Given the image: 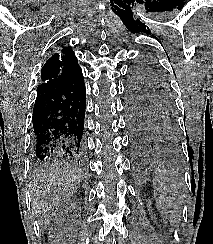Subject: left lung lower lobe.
Masks as SVG:
<instances>
[{
    "label": "left lung lower lobe",
    "instance_id": "0a47b994",
    "mask_svg": "<svg viewBox=\"0 0 213 244\" xmlns=\"http://www.w3.org/2000/svg\"><path fill=\"white\" fill-rule=\"evenodd\" d=\"M130 146L138 157H150L161 150L164 144L156 130L141 116L127 111Z\"/></svg>",
    "mask_w": 213,
    "mask_h": 244
}]
</instances>
